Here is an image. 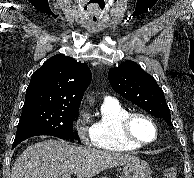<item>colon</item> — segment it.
Instances as JSON below:
<instances>
[{"label":"colon","mask_w":194,"mask_h":178,"mask_svg":"<svg viewBox=\"0 0 194 178\" xmlns=\"http://www.w3.org/2000/svg\"><path fill=\"white\" fill-rule=\"evenodd\" d=\"M165 178H177V170L175 168H167L164 170Z\"/></svg>","instance_id":"colon-1"}]
</instances>
